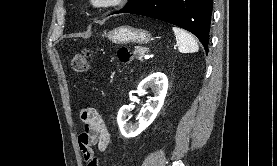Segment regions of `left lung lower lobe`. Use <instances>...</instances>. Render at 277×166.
I'll return each instance as SVG.
<instances>
[{
    "mask_svg": "<svg viewBox=\"0 0 277 166\" xmlns=\"http://www.w3.org/2000/svg\"><path fill=\"white\" fill-rule=\"evenodd\" d=\"M212 0H144L126 12L162 20L193 33L208 52Z\"/></svg>",
    "mask_w": 277,
    "mask_h": 166,
    "instance_id": "obj_1",
    "label": "left lung lower lobe"
}]
</instances>
